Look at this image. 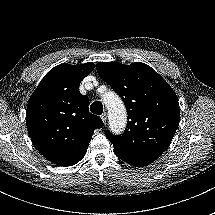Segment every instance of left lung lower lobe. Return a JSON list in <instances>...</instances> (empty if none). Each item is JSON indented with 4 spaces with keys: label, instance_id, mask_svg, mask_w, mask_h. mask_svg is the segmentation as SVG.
Wrapping results in <instances>:
<instances>
[{
    "label": "left lung lower lobe",
    "instance_id": "0a47b994",
    "mask_svg": "<svg viewBox=\"0 0 215 215\" xmlns=\"http://www.w3.org/2000/svg\"><path fill=\"white\" fill-rule=\"evenodd\" d=\"M114 152L118 158L125 161L126 163L136 166L142 167L147 166L150 163L154 162L156 159L160 157V155L156 156H133V155H126L114 149Z\"/></svg>",
    "mask_w": 215,
    "mask_h": 215
}]
</instances>
